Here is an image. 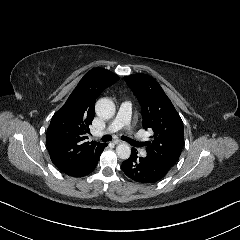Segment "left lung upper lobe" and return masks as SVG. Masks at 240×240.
Instances as JSON below:
<instances>
[{"instance_id": "1", "label": "left lung upper lobe", "mask_w": 240, "mask_h": 240, "mask_svg": "<svg viewBox=\"0 0 240 240\" xmlns=\"http://www.w3.org/2000/svg\"><path fill=\"white\" fill-rule=\"evenodd\" d=\"M124 80L141 104L143 128L153 132L146 151L155 161L172 167L184 145L183 122L159 83L149 75L134 74Z\"/></svg>"}]
</instances>
